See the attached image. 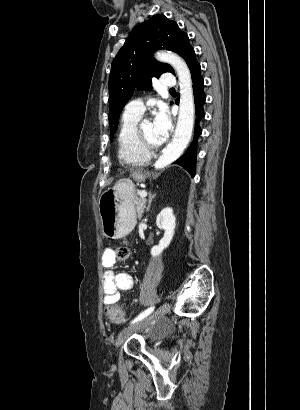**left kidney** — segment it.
<instances>
[{
	"mask_svg": "<svg viewBox=\"0 0 300 410\" xmlns=\"http://www.w3.org/2000/svg\"><path fill=\"white\" fill-rule=\"evenodd\" d=\"M156 225L159 229L164 230V236L159 241L158 245L151 248V255L153 257L159 256L164 249H166L174 236L176 217L173 214L172 208H164L156 218Z\"/></svg>",
	"mask_w": 300,
	"mask_h": 410,
	"instance_id": "1",
	"label": "left kidney"
}]
</instances>
